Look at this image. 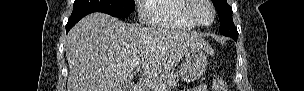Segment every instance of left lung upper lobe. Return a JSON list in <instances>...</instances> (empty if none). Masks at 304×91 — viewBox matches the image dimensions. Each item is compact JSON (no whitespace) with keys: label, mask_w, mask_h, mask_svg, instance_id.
Here are the masks:
<instances>
[{"label":"left lung upper lobe","mask_w":304,"mask_h":91,"mask_svg":"<svg viewBox=\"0 0 304 91\" xmlns=\"http://www.w3.org/2000/svg\"><path fill=\"white\" fill-rule=\"evenodd\" d=\"M212 2L219 16L220 33L229 37L238 36L232 19V8L227 4V0H212Z\"/></svg>","instance_id":"1"}]
</instances>
